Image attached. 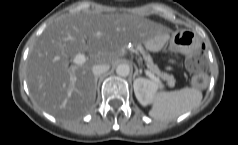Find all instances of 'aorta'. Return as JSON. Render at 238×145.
<instances>
[{"label": "aorta", "instance_id": "1", "mask_svg": "<svg viewBox=\"0 0 238 145\" xmlns=\"http://www.w3.org/2000/svg\"><path fill=\"white\" fill-rule=\"evenodd\" d=\"M116 73L119 76L126 77L130 73V67L128 64H119L116 68Z\"/></svg>", "mask_w": 238, "mask_h": 145}]
</instances>
